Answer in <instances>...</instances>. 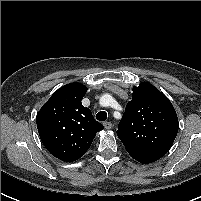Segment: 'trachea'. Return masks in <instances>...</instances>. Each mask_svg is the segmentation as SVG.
Segmentation results:
<instances>
[{
	"label": "trachea",
	"mask_w": 201,
	"mask_h": 201,
	"mask_svg": "<svg viewBox=\"0 0 201 201\" xmlns=\"http://www.w3.org/2000/svg\"><path fill=\"white\" fill-rule=\"evenodd\" d=\"M107 118V113L105 111H100L96 114V119L99 121H105Z\"/></svg>",
	"instance_id": "3493384b"
}]
</instances>
